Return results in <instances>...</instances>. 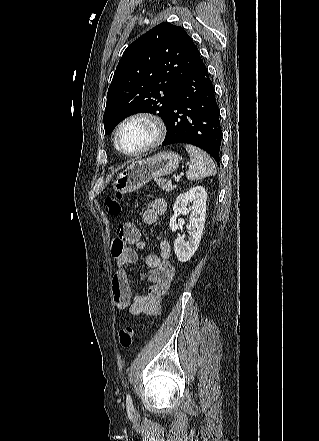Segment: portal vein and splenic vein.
I'll list each match as a JSON object with an SVG mask.
<instances>
[{
	"instance_id": "portal-vein-and-splenic-vein-1",
	"label": "portal vein and splenic vein",
	"mask_w": 319,
	"mask_h": 441,
	"mask_svg": "<svg viewBox=\"0 0 319 441\" xmlns=\"http://www.w3.org/2000/svg\"><path fill=\"white\" fill-rule=\"evenodd\" d=\"M180 175L175 176V180L178 182L180 180Z\"/></svg>"
}]
</instances>
